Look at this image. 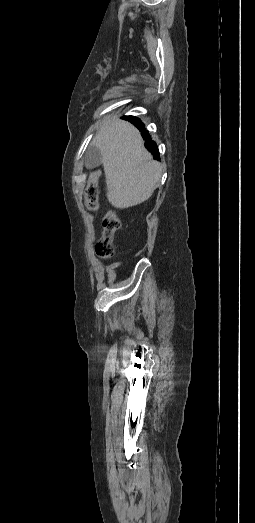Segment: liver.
Masks as SVG:
<instances>
[{"label":"liver","mask_w":255,"mask_h":523,"mask_svg":"<svg viewBox=\"0 0 255 523\" xmlns=\"http://www.w3.org/2000/svg\"><path fill=\"white\" fill-rule=\"evenodd\" d=\"M101 150L107 198L114 208H130L151 198L162 176V164L144 148L137 128L107 118L92 140Z\"/></svg>","instance_id":"1"}]
</instances>
